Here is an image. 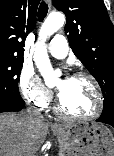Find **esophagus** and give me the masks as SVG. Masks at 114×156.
Returning a JSON list of instances; mask_svg holds the SVG:
<instances>
[{"mask_svg": "<svg viewBox=\"0 0 114 156\" xmlns=\"http://www.w3.org/2000/svg\"><path fill=\"white\" fill-rule=\"evenodd\" d=\"M46 2L49 4V5H51V0H46ZM53 126L54 127H58V125L55 123V124H53Z\"/></svg>", "mask_w": 114, "mask_h": 156, "instance_id": "esophagus-1", "label": "esophagus"}]
</instances>
